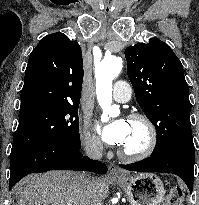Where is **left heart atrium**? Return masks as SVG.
<instances>
[{"mask_svg": "<svg viewBox=\"0 0 199 205\" xmlns=\"http://www.w3.org/2000/svg\"><path fill=\"white\" fill-rule=\"evenodd\" d=\"M103 140L109 145H122L128 134V123L124 119L115 120L100 129Z\"/></svg>", "mask_w": 199, "mask_h": 205, "instance_id": "left-heart-atrium-1", "label": "left heart atrium"}]
</instances>
